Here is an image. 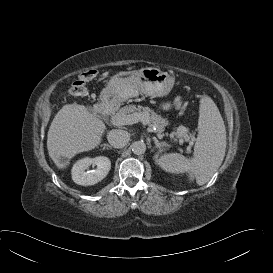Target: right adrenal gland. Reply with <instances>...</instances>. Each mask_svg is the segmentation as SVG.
<instances>
[{
  "mask_svg": "<svg viewBox=\"0 0 273 273\" xmlns=\"http://www.w3.org/2000/svg\"><path fill=\"white\" fill-rule=\"evenodd\" d=\"M102 146H103V149H105L106 147L109 149H112V147L109 144H103Z\"/></svg>",
  "mask_w": 273,
  "mask_h": 273,
  "instance_id": "1",
  "label": "right adrenal gland"
}]
</instances>
